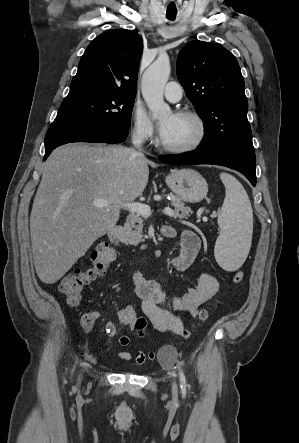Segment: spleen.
<instances>
[{
	"instance_id": "spleen-1",
	"label": "spleen",
	"mask_w": 299,
	"mask_h": 443,
	"mask_svg": "<svg viewBox=\"0 0 299 443\" xmlns=\"http://www.w3.org/2000/svg\"><path fill=\"white\" fill-rule=\"evenodd\" d=\"M225 186V199L218 216L220 234L214 255L226 271L238 270L247 258L253 232V211L242 184L232 175L221 173Z\"/></svg>"
}]
</instances>
